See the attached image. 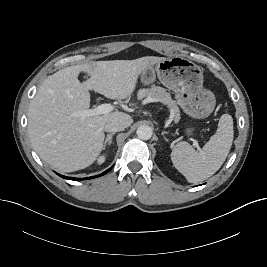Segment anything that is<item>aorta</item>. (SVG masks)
Instances as JSON below:
<instances>
[{"mask_svg":"<svg viewBox=\"0 0 267 267\" xmlns=\"http://www.w3.org/2000/svg\"><path fill=\"white\" fill-rule=\"evenodd\" d=\"M136 134L139 139L149 140L152 137V128L148 125H141L137 128Z\"/></svg>","mask_w":267,"mask_h":267,"instance_id":"1","label":"aorta"}]
</instances>
